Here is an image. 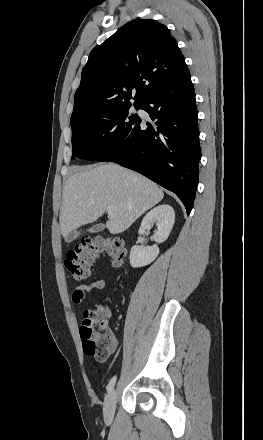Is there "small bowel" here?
Listing matches in <instances>:
<instances>
[{
    "label": "small bowel",
    "instance_id": "c3829d8e",
    "mask_svg": "<svg viewBox=\"0 0 263 440\" xmlns=\"http://www.w3.org/2000/svg\"><path fill=\"white\" fill-rule=\"evenodd\" d=\"M106 280L104 278H98L90 281L87 284L77 285L72 292V302L75 305L82 304L88 297V295L94 290H103L106 287ZM117 346V342L114 341L110 352H113Z\"/></svg>",
    "mask_w": 263,
    "mask_h": 440
}]
</instances>
